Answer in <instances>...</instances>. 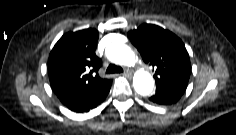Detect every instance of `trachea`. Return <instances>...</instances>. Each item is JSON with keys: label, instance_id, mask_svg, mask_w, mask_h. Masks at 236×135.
Wrapping results in <instances>:
<instances>
[{"label": "trachea", "instance_id": "trachea-1", "mask_svg": "<svg viewBox=\"0 0 236 135\" xmlns=\"http://www.w3.org/2000/svg\"><path fill=\"white\" fill-rule=\"evenodd\" d=\"M121 72H123V69L120 66H116L114 64H110L106 70L107 74L121 73Z\"/></svg>", "mask_w": 236, "mask_h": 135}]
</instances>
